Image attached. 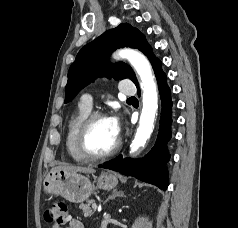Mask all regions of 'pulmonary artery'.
<instances>
[{
	"label": "pulmonary artery",
	"instance_id": "obj_1",
	"mask_svg": "<svg viewBox=\"0 0 238 228\" xmlns=\"http://www.w3.org/2000/svg\"><path fill=\"white\" fill-rule=\"evenodd\" d=\"M120 92L127 96L134 95L136 87L131 80L123 79L120 83ZM81 102L90 108L92 107V97L90 95L83 96Z\"/></svg>",
	"mask_w": 238,
	"mask_h": 228
}]
</instances>
